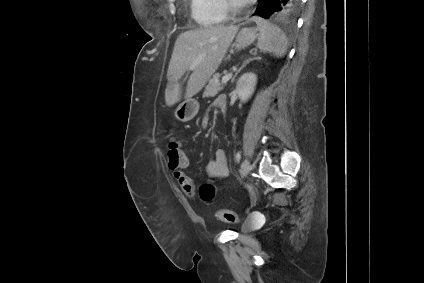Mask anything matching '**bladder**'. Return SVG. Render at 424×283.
Segmentation results:
<instances>
[{
    "instance_id": "31cf9c89",
    "label": "bladder",
    "mask_w": 424,
    "mask_h": 283,
    "mask_svg": "<svg viewBox=\"0 0 424 283\" xmlns=\"http://www.w3.org/2000/svg\"><path fill=\"white\" fill-rule=\"evenodd\" d=\"M259 227L257 220L253 216H248L241 226L242 233H250Z\"/></svg>"
}]
</instances>
